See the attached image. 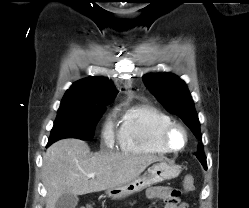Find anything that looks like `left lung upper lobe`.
<instances>
[{
  "instance_id": "5c2ea615",
  "label": "left lung upper lobe",
  "mask_w": 249,
  "mask_h": 208,
  "mask_svg": "<svg viewBox=\"0 0 249 208\" xmlns=\"http://www.w3.org/2000/svg\"><path fill=\"white\" fill-rule=\"evenodd\" d=\"M143 81L165 109L178 115L201 141L200 122L185 82L171 73L147 74L143 76ZM196 156L207 169L201 143Z\"/></svg>"
}]
</instances>
